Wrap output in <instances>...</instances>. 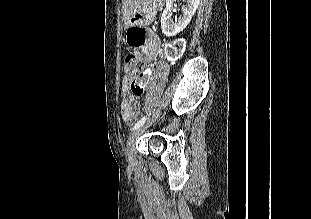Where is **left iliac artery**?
I'll return each mask as SVG.
<instances>
[{"label":"left iliac artery","instance_id":"left-iliac-artery-1","mask_svg":"<svg viewBox=\"0 0 311 219\" xmlns=\"http://www.w3.org/2000/svg\"><path fill=\"white\" fill-rule=\"evenodd\" d=\"M146 119H147L146 116L142 117V118L135 124V126L133 127V130H135V129L141 127V126L145 123Z\"/></svg>","mask_w":311,"mask_h":219}]
</instances>
